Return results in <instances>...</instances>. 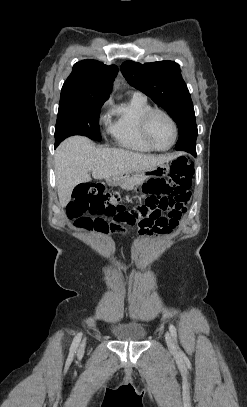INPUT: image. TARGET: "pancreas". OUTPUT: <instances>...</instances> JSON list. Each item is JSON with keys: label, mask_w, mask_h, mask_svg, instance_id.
<instances>
[{"label": "pancreas", "mask_w": 247, "mask_h": 407, "mask_svg": "<svg viewBox=\"0 0 247 407\" xmlns=\"http://www.w3.org/2000/svg\"><path fill=\"white\" fill-rule=\"evenodd\" d=\"M144 180L145 179L129 178L123 184H121V187L123 189L133 188L134 186L142 183Z\"/></svg>", "instance_id": "cf45deb5"}]
</instances>
